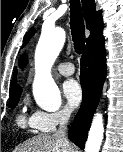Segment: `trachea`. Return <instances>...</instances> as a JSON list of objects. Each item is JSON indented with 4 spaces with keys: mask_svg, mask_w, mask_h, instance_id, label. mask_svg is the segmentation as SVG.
<instances>
[{
    "mask_svg": "<svg viewBox=\"0 0 123 152\" xmlns=\"http://www.w3.org/2000/svg\"><path fill=\"white\" fill-rule=\"evenodd\" d=\"M70 28L75 52L80 54L85 46V26L79 0H70Z\"/></svg>",
    "mask_w": 123,
    "mask_h": 152,
    "instance_id": "trachea-1",
    "label": "trachea"
}]
</instances>
